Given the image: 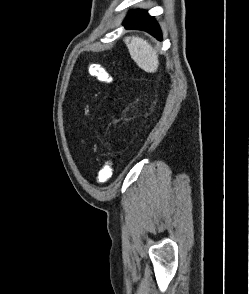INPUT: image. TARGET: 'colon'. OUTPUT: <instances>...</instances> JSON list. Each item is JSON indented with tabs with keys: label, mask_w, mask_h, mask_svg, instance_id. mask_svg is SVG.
Instances as JSON below:
<instances>
[{
	"label": "colon",
	"mask_w": 249,
	"mask_h": 294,
	"mask_svg": "<svg viewBox=\"0 0 249 294\" xmlns=\"http://www.w3.org/2000/svg\"><path fill=\"white\" fill-rule=\"evenodd\" d=\"M91 76L97 78L99 81L104 83H110L112 80L111 75L104 68L100 66H91L89 69ZM113 164L112 162H106L100 169L97 175V182L100 184L106 183L112 176Z\"/></svg>",
	"instance_id": "obj_1"
}]
</instances>
